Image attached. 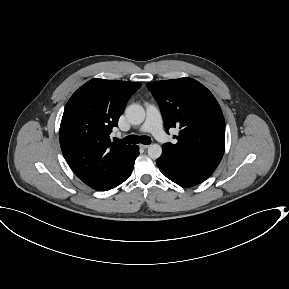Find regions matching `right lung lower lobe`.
I'll list each match as a JSON object with an SVG mask.
<instances>
[{"label": "right lung lower lobe", "mask_w": 289, "mask_h": 289, "mask_svg": "<svg viewBox=\"0 0 289 289\" xmlns=\"http://www.w3.org/2000/svg\"><path fill=\"white\" fill-rule=\"evenodd\" d=\"M138 155H139V147L137 145H134L132 150H131L128 163H127L125 169L122 171L121 175L118 177V179L109 188L102 190V191H106V190H110L112 188H115L118 185H120L121 183H123L126 179H128L132 173V170L134 167V162H135V159L137 158Z\"/></svg>", "instance_id": "right-lung-lower-lobe-1"}]
</instances>
